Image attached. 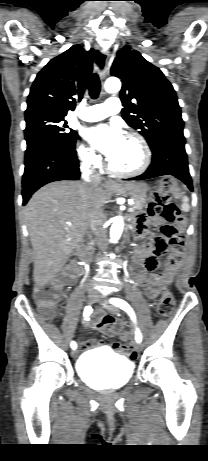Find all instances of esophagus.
I'll return each instance as SVG.
<instances>
[{
  "mask_svg": "<svg viewBox=\"0 0 208 461\" xmlns=\"http://www.w3.org/2000/svg\"><path fill=\"white\" fill-rule=\"evenodd\" d=\"M108 61H109V54L106 53L104 58H102V55H99L98 58L97 56L95 57V65L98 67L101 71L102 78L105 77L106 71L108 68ZM117 183L113 180H105L104 181V186L107 188L115 187Z\"/></svg>",
  "mask_w": 208,
  "mask_h": 461,
  "instance_id": "obj_1",
  "label": "esophagus"
}]
</instances>
